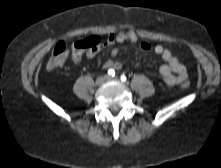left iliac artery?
<instances>
[{
  "instance_id": "44dca946",
  "label": "left iliac artery",
  "mask_w": 221,
  "mask_h": 168,
  "mask_svg": "<svg viewBox=\"0 0 221 168\" xmlns=\"http://www.w3.org/2000/svg\"><path fill=\"white\" fill-rule=\"evenodd\" d=\"M120 79H121L122 82H126V80H127V78L124 74L121 75Z\"/></svg>"
}]
</instances>
